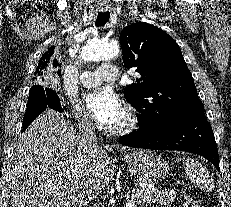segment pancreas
Returning <instances> with one entry per match:
<instances>
[{
    "label": "pancreas",
    "mask_w": 231,
    "mask_h": 207,
    "mask_svg": "<svg viewBox=\"0 0 231 207\" xmlns=\"http://www.w3.org/2000/svg\"><path fill=\"white\" fill-rule=\"evenodd\" d=\"M128 194L130 195V201L134 203L148 202L161 205H169L174 202L177 193L174 190H149L146 188L133 187L128 190ZM143 199L145 200L143 201Z\"/></svg>",
    "instance_id": "pancreas-1"
}]
</instances>
